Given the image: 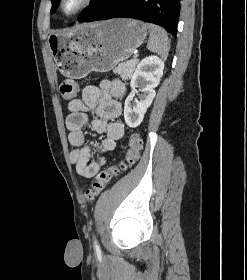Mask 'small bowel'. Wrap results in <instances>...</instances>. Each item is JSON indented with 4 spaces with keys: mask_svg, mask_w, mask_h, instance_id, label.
<instances>
[{
    "mask_svg": "<svg viewBox=\"0 0 247 280\" xmlns=\"http://www.w3.org/2000/svg\"><path fill=\"white\" fill-rule=\"evenodd\" d=\"M125 93L126 86L122 81L102 80L98 86L84 87L81 98L69 102V114L65 123L69 131L68 140L75 147L69 158L79 175L85 178L95 177L107 163L108 153L112 152L117 142L123 138L125 126L118 118L122 111L119 100ZM89 111L96 116L91 122L92 129L105 135L100 145L101 155L96 161H91L92 145L86 140L83 131L89 121Z\"/></svg>",
    "mask_w": 247,
    "mask_h": 280,
    "instance_id": "c3829d8e",
    "label": "small bowel"
}]
</instances>
